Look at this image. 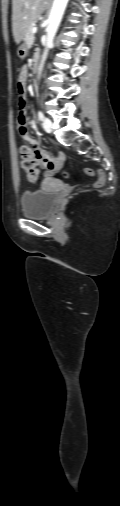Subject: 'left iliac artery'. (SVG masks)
Instances as JSON below:
<instances>
[{
  "instance_id": "left-iliac-artery-1",
  "label": "left iliac artery",
  "mask_w": 120,
  "mask_h": 506,
  "mask_svg": "<svg viewBox=\"0 0 120 506\" xmlns=\"http://www.w3.org/2000/svg\"><path fill=\"white\" fill-rule=\"evenodd\" d=\"M38 118H39L41 121H42V120H44V114H43L41 111H39V112H38Z\"/></svg>"
}]
</instances>
